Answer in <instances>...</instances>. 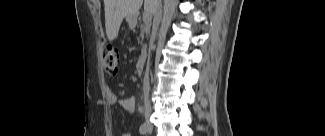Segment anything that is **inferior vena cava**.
Returning <instances> with one entry per match:
<instances>
[{
  "mask_svg": "<svg viewBox=\"0 0 325 136\" xmlns=\"http://www.w3.org/2000/svg\"><path fill=\"white\" fill-rule=\"evenodd\" d=\"M150 2H152V9L154 13L153 29L154 31H156L158 29L162 17V3L161 0H151ZM144 88H145V95L148 97L149 90H150L148 77L145 79Z\"/></svg>",
  "mask_w": 325,
  "mask_h": 136,
  "instance_id": "obj_1",
  "label": "inferior vena cava"
}]
</instances>
